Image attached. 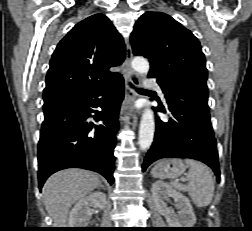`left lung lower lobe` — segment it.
Segmentation results:
<instances>
[{
  "label": "left lung lower lobe",
  "mask_w": 252,
  "mask_h": 231,
  "mask_svg": "<svg viewBox=\"0 0 252 231\" xmlns=\"http://www.w3.org/2000/svg\"><path fill=\"white\" fill-rule=\"evenodd\" d=\"M157 82L168 110L160 107L170 119L165 122L156 117L154 142L144 159L142 171L158 159L183 157L207 164L219 180L217 143L210 121L207 87L191 80L163 76L157 77Z\"/></svg>",
  "instance_id": "left-lung-lower-lobe-1"
}]
</instances>
